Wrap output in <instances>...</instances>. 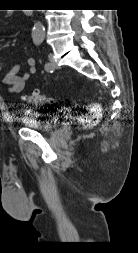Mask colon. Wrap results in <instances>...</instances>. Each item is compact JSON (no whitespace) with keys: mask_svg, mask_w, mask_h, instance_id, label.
Returning <instances> with one entry per match:
<instances>
[{"mask_svg":"<svg viewBox=\"0 0 138 253\" xmlns=\"http://www.w3.org/2000/svg\"><path fill=\"white\" fill-rule=\"evenodd\" d=\"M24 101L31 104H45V103H52L53 99L43 94L37 90L31 92L30 94L26 95L24 97ZM102 115V108L98 103H92L90 104L86 110L85 113L82 115V124L86 128H90L95 126Z\"/></svg>","mask_w":138,"mask_h":253,"instance_id":"5ec220e1","label":"colon"}]
</instances>
